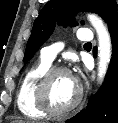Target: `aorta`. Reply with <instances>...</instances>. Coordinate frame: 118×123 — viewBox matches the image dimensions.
Here are the masks:
<instances>
[{"mask_svg": "<svg viewBox=\"0 0 118 123\" xmlns=\"http://www.w3.org/2000/svg\"><path fill=\"white\" fill-rule=\"evenodd\" d=\"M89 22L96 30L98 36V82L101 84L106 75L108 65L111 59L112 53V44L111 37L108 32L107 27L105 26L103 20L97 16L96 14H88L87 15Z\"/></svg>", "mask_w": 118, "mask_h": 123, "instance_id": "1", "label": "aorta"}]
</instances>
